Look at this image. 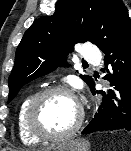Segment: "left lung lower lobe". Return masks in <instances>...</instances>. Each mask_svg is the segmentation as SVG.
I'll use <instances>...</instances> for the list:
<instances>
[{"mask_svg":"<svg viewBox=\"0 0 131 151\" xmlns=\"http://www.w3.org/2000/svg\"><path fill=\"white\" fill-rule=\"evenodd\" d=\"M104 53L106 65L112 66L110 81L115 90H109L105 94L95 89L93 81L90 83L92 94H102L103 99L82 134L96 131H131V34Z\"/></svg>","mask_w":131,"mask_h":151,"instance_id":"obj_1","label":"left lung lower lobe"}]
</instances>
